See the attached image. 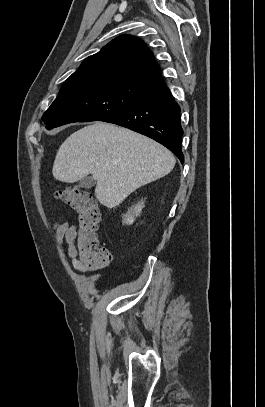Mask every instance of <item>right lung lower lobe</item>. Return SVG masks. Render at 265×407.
<instances>
[{
	"mask_svg": "<svg viewBox=\"0 0 265 407\" xmlns=\"http://www.w3.org/2000/svg\"><path fill=\"white\" fill-rule=\"evenodd\" d=\"M101 121L129 128L156 140L183 163L180 107L165 83L134 106Z\"/></svg>",
	"mask_w": 265,
	"mask_h": 407,
	"instance_id": "1",
	"label": "right lung lower lobe"
}]
</instances>
